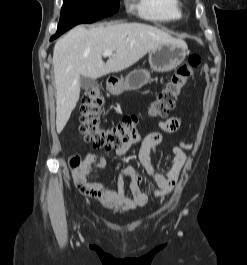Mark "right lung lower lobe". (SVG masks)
<instances>
[{"mask_svg": "<svg viewBox=\"0 0 247 265\" xmlns=\"http://www.w3.org/2000/svg\"><path fill=\"white\" fill-rule=\"evenodd\" d=\"M98 19L95 18H74L70 20L60 21L58 24L57 33L51 37L50 41L56 39L61 34L72 28L73 26L80 24V23H89L93 21H97Z\"/></svg>", "mask_w": 247, "mask_h": 265, "instance_id": "1", "label": "right lung lower lobe"}]
</instances>
